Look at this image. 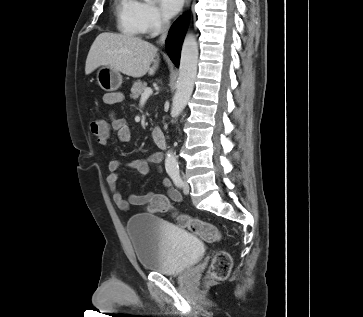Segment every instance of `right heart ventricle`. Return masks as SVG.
<instances>
[{"instance_id":"1","label":"right heart ventricle","mask_w":363,"mask_h":317,"mask_svg":"<svg viewBox=\"0 0 363 317\" xmlns=\"http://www.w3.org/2000/svg\"><path fill=\"white\" fill-rule=\"evenodd\" d=\"M137 0H115V15L118 29L127 35L138 36L142 33Z\"/></svg>"}]
</instances>
